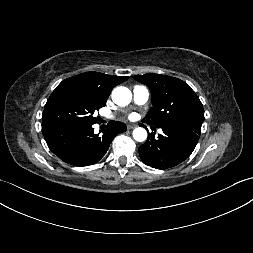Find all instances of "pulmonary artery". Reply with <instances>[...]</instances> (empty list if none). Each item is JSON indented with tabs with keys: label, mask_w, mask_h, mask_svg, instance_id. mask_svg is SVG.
Wrapping results in <instances>:
<instances>
[{
	"label": "pulmonary artery",
	"mask_w": 253,
	"mask_h": 253,
	"mask_svg": "<svg viewBox=\"0 0 253 253\" xmlns=\"http://www.w3.org/2000/svg\"><path fill=\"white\" fill-rule=\"evenodd\" d=\"M150 96L149 89L144 85H135L133 87V100L138 105L145 104Z\"/></svg>",
	"instance_id": "obj_1"
}]
</instances>
